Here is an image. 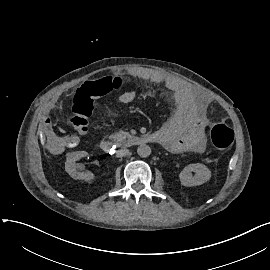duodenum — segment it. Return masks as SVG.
<instances>
[{"label": "duodenum", "instance_id": "410a0bca", "mask_svg": "<svg viewBox=\"0 0 270 270\" xmlns=\"http://www.w3.org/2000/svg\"><path fill=\"white\" fill-rule=\"evenodd\" d=\"M149 143H160V138L155 134H148L143 136H130L126 140L127 145L140 146ZM117 147V143L111 139H104L100 143V148L108 154H112Z\"/></svg>", "mask_w": 270, "mask_h": 270}]
</instances>
